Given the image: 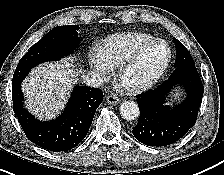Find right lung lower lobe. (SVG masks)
I'll return each mask as SVG.
<instances>
[{
  "label": "right lung lower lobe",
  "mask_w": 224,
  "mask_h": 175,
  "mask_svg": "<svg viewBox=\"0 0 224 175\" xmlns=\"http://www.w3.org/2000/svg\"><path fill=\"white\" fill-rule=\"evenodd\" d=\"M36 65L17 66L12 82L13 111L27 138L50 151H67L87 135L103 92L98 88L75 86L63 113L55 120L42 122L34 118L23 104L21 82Z\"/></svg>",
  "instance_id": "1"
}]
</instances>
